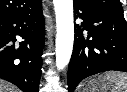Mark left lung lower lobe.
<instances>
[{"instance_id": "1", "label": "left lung lower lobe", "mask_w": 127, "mask_h": 92, "mask_svg": "<svg viewBox=\"0 0 127 92\" xmlns=\"http://www.w3.org/2000/svg\"><path fill=\"white\" fill-rule=\"evenodd\" d=\"M73 53L68 68V90L86 77L110 71L127 72V23L123 14L96 10L74 2Z\"/></svg>"}]
</instances>
